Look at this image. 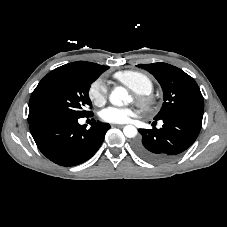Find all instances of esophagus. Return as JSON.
<instances>
[{"instance_id":"obj_1","label":"esophagus","mask_w":227,"mask_h":227,"mask_svg":"<svg viewBox=\"0 0 227 227\" xmlns=\"http://www.w3.org/2000/svg\"><path fill=\"white\" fill-rule=\"evenodd\" d=\"M113 127H123L124 125H122V124H114V125H112Z\"/></svg>"}]
</instances>
